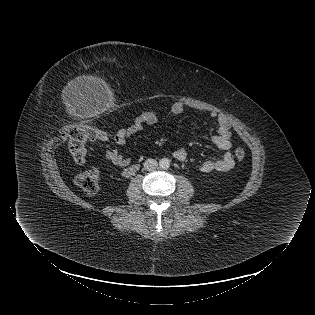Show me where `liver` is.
I'll return each mask as SVG.
<instances>
[{
    "label": "liver",
    "mask_w": 315,
    "mask_h": 315,
    "mask_svg": "<svg viewBox=\"0 0 315 315\" xmlns=\"http://www.w3.org/2000/svg\"><path fill=\"white\" fill-rule=\"evenodd\" d=\"M84 83H93V84H102L105 85V82L97 77L94 76H89V75H83V76H79L77 78H75L74 80H72L69 85H68V89H74L77 88L79 85H82ZM108 101H111L108 100Z\"/></svg>",
    "instance_id": "6515ba94"
}]
</instances>
